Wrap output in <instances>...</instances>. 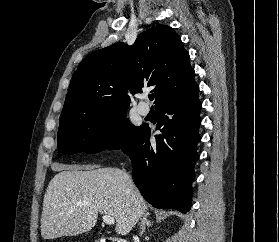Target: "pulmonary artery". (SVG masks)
Instances as JSON below:
<instances>
[{
	"instance_id": "1",
	"label": "pulmonary artery",
	"mask_w": 279,
	"mask_h": 242,
	"mask_svg": "<svg viewBox=\"0 0 279 242\" xmlns=\"http://www.w3.org/2000/svg\"><path fill=\"white\" fill-rule=\"evenodd\" d=\"M137 110L139 114L142 116H147L150 111L149 107L145 105L143 102L139 103Z\"/></svg>"
}]
</instances>
